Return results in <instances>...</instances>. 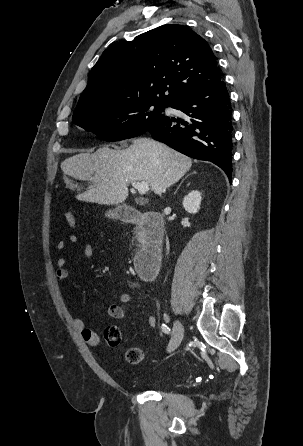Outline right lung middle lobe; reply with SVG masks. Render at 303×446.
<instances>
[{"label":"right lung middle lobe","mask_w":303,"mask_h":446,"mask_svg":"<svg viewBox=\"0 0 303 446\" xmlns=\"http://www.w3.org/2000/svg\"><path fill=\"white\" fill-rule=\"evenodd\" d=\"M169 106L147 100L105 105L73 115L72 121L103 140L117 141L145 133L164 116L162 111Z\"/></svg>","instance_id":"1"}]
</instances>
